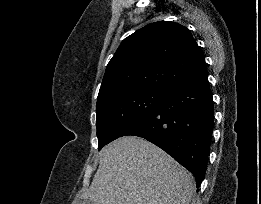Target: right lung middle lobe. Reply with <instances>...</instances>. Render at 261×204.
Returning <instances> with one entry per match:
<instances>
[{
	"label": "right lung middle lobe",
	"mask_w": 261,
	"mask_h": 204,
	"mask_svg": "<svg viewBox=\"0 0 261 204\" xmlns=\"http://www.w3.org/2000/svg\"><path fill=\"white\" fill-rule=\"evenodd\" d=\"M164 94L163 91L131 89L116 91L98 100V149L119 138L127 128L153 109Z\"/></svg>",
	"instance_id": "dd1d6c3e"
}]
</instances>
